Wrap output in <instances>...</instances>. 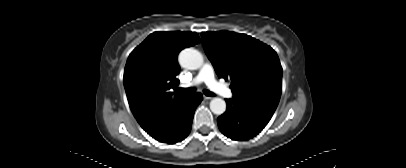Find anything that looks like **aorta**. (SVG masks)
<instances>
[{
    "instance_id": "762f6f07",
    "label": "aorta",
    "mask_w": 406,
    "mask_h": 168,
    "mask_svg": "<svg viewBox=\"0 0 406 168\" xmlns=\"http://www.w3.org/2000/svg\"><path fill=\"white\" fill-rule=\"evenodd\" d=\"M178 60L183 68L190 70L199 69L204 63L202 54L193 48L182 50L179 54ZM210 109L214 114L221 115L226 110V103L221 98H213L210 102Z\"/></svg>"
}]
</instances>
